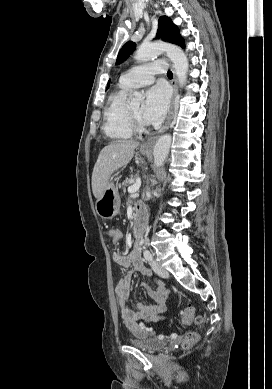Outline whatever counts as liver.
Returning a JSON list of instances; mask_svg holds the SVG:
<instances>
[{"label":"liver","instance_id":"obj_1","mask_svg":"<svg viewBox=\"0 0 272 389\" xmlns=\"http://www.w3.org/2000/svg\"><path fill=\"white\" fill-rule=\"evenodd\" d=\"M138 145L137 141H116L100 151L92 173V191L96 199L102 196L111 174L131 161Z\"/></svg>","mask_w":272,"mask_h":389}]
</instances>
